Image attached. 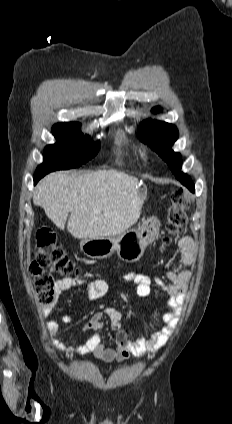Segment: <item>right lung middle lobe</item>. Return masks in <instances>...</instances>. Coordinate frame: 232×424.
<instances>
[{"label":"right lung middle lobe","instance_id":"dd1d6c3e","mask_svg":"<svg viewBox=\"0 0 232 424\" xmlns=\"http://www.w3.org/2000/svg\"><path fill=\"white\" fill-rule=\"evenodd\" d=\"M52 133L57 142L45 147L44 162L36 169V178L55 170L81 166L99 151V142L94 143L88 135H83L77 122L57 123Z\"/></svg>","mask_w":232,"mask_h":424}]
</instances>
